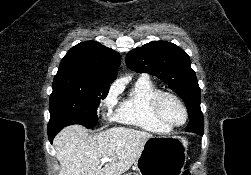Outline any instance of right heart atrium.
I'll return each instance as SVG.
<instances>
[{
  "mask_svg": "<svg viewBox=\"0 0 251 175\" xmlns=\"http://www.w3.org/2000/svg\"><path fill=\"white\" fill-rule=\"evenodd\" d=\"M119 101V90L115 84H112L102 97L99 103V112L105 119L112 120L116 118V106Z\"/></svg>",
  "mask_w": 251,
  "mask_h": 175,
  "instance_id": "obj_1",
  "label": "right heart atrium"
}]
</instances>
